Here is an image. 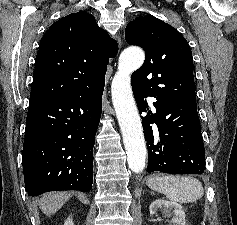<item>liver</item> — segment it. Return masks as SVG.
Returning <instances> with one entry per match:
<instances>
[{"instance_id": "obj_1", "label": "liver", "mask_w": 237, "mask_h": 225, "mask_svg": "<svg viewBox=\"0 0 237 225\" xmlns=\"http://www.w3.org/2000/svg\"><path fill=\"white\" fill-rule=\"evenodd\" d=\"M69 197L70 194L66 192L46 193L39 199L38 205L45 215L51 216L65 204Z\"/></svg>"}]
</instances>
